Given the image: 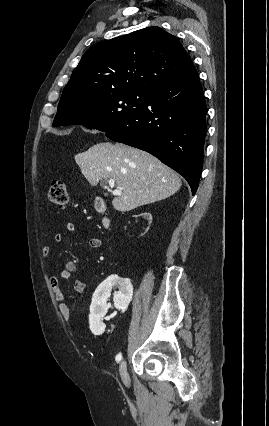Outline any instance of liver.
I'll use <instances>...</instances> for the list:
<instances>
[{
	"label": "liver",
	"mask_w": 269,
	"mask_h": 426,
	"mask_svg": "<svg viewBox=\"0 0 269 426\" xmlns=\"http://www.w3.org/2000/svg\"><path fill=\"white\" fill-rule=\"evenodd\" d=\"M92 186L113 179L122 194L112 201L120 212L164 200L182 185L178 174L153 155L122 143H98L75 155Z\"/></svg>",
	"instance_id": "obj_1"
}]
</instances>
